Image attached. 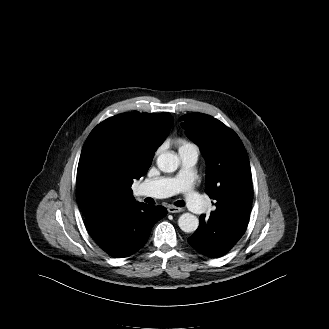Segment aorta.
Listing matches in <instances>:
<instances>
[{
    "label": "aorta",
    "instance_id": "1",
    "mask_svg": "<svg viewBox=\"0 0 329 329\" xmlns=\"http://www.w3.org/2000/svg\"><path fill=\"white\" fill-rule=\"evenodd\" d=\"M180 164L177 154L172 152H164L157 158L158 168L165 173L174 172ZM178 226L186 233H192L197 230L199 226L198 218L190 213L182 214L178 219Z\"/></svg>",
    "mask_w": 329,
    "mask_h": 329
}]
</instances>
